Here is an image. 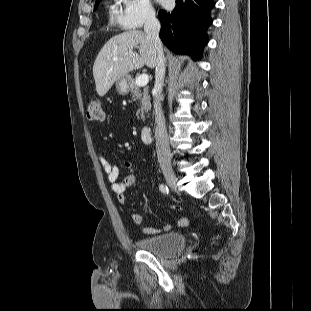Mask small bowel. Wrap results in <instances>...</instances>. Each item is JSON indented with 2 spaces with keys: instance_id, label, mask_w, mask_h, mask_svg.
<instances>
[{
  "instance_id": "1",
  "label": "small bowel",
  "mask_w": 311,
  "mask_h": 311,
  "mask_svg": "<svg viewBox=\"0 0 311 311\" xmlns=\"http://www.w3.org/2000/svg\"><path fill=\"white\" fill-rule=\"evenodd\" d=\"M98 159L100 161L101 167L105 172L108 181L111 184L112 191L117 195V199L120 204L126 203L125 191L128 187L136 182V177L134 174H127L122 179L119 180V170L115 164L109 161L103 154H98ZM131 220L135 224H142L144 217L138 213H132L130 215ZM178 226L184 227L188 224V220L181 218L176 223ZM170 224H165L162 228L155 227H144L143 232L148 235H154L162 232H167L171 230Z\"/></svg>"
}]
</instances>
